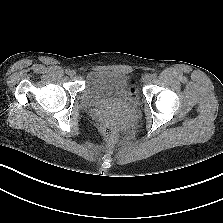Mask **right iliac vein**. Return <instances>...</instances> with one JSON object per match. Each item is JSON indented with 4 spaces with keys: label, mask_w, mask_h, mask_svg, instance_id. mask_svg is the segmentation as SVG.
Returning a JSON list of instances; mask_svg holds the SVG:
<instances>
[{
    "label": "right iliac vein",
    "mask_w": 223,
    "mask_h": 223,
    "mask_svg": "<svg viewBox=\"0 0 223 223\" xmlns=\"http://www.w3.org/2000/svg\"><path fill=\"white\" fill-rule=\"evenodd\" d=\"M69 75H70L71 77H74V76L76 75V72H75L74 70H72V71H70Z\"/></svg>",
    "instance_id": "obj_1"
}]
</instances>
